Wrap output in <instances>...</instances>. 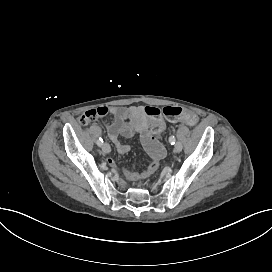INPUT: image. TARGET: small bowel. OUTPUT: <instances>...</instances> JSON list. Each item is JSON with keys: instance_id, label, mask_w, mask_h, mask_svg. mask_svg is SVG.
<instances>
[{"instance_id": "small-bowel-1", "label": "small bowel", "mask_w": 272, "mask_h": 272, "mask_svg": "<svg viewBox=\"0 0 272 272\" xmlns=\"http://www.w3.org/2000/svg\"><path fill=\"white\" fill-rule=\"evenodd\" d=\"M145 109L144 106L112 107L110 112L113 121L107 124L106 129L119 153L126 154L129 151V146L121 142L120 136L125 138L138 137L152 160L151 164L157 165L158 161L164 156L165 151L155 137L156 133L152 123L146 120ZM179 121L187 124L183 119L179 118ZM106 163L109 167L116 168L112 159H107ZM147 169L142 173L135 170H125L124 176L128 181L136 182L150 175L147 173Z\"/></svg>"}]
</instances>
